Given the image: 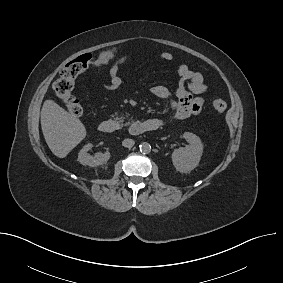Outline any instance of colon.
Returning a JSON list of instances; mask_svg holds the SVG:
<instances>
[{
    "instance_id": "5ec220e1",
    "label": "colon",
    "mask_w": 283,
    "mask_h": 283,
    "mask_svg": "<svg viewBox=\"0 0 283 283\" xmlns=\"http://www.w3.org/2000/svg\"><path fill=\"white\" fill-rule=\"evenodd\" d=\"M116 56L117 52L115 50H106L96 57L91 54H83L68 62L61 69L59 78L53 84V89L70 114L74 116L82 114V106L73 94L76 78L88 68L103 66ZM212 107L217 112L223 113L227 109V104L222 99H215L212 101Z\"/></svg>"
}]
</instances>
